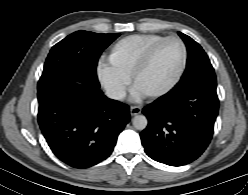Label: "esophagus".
<instances>
[{
	"mask_svg": "<svg viewBox=\"0 0 248 195\" xmlns=\"http://www.w3.org/2000/svg\"><path fill=\"white\" fill-rule=\"evenodd\" d=\"M140 113H141V108L139 106H131V108H130V114L132 116L138 115Z\"/></svg>",
	"mask_w": 248,
	"mask_h": 195,
	"instance_id": "1",
	"label": "esophagus"
}]
</instances>
